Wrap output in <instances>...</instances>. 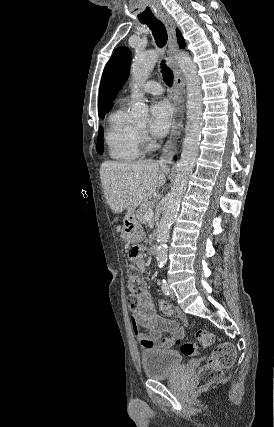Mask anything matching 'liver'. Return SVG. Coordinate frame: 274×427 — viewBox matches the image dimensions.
<instances>
[{"instance_id": "6515ba94", "label": "liver", "mask_w": 274, "mask_h": 427, "mask_svg": "<svg viewBox=\"0 0 274 427\" xmlns=\"http://www.w3.org/2000/svg\"><path fill=\"white\" fill-rule=\"evenodd\" d=\"M164 170V168H162ZM100 178L107 204L115 214L127 210L134 214L137 206L157 196L166 182L158 162H103Z\"/></svg>"}]
</instances>
